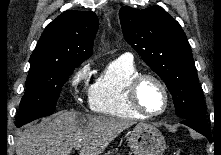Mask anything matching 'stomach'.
I'll return each instance as SVG.
<instances>
[{"label":"stomach","instance_id":"stomach-1","mask_svg":"<svg viewBox=\"0 0 221 155\" xmlns=\"http://www.w3.org/2000/svg\"><path fill=\"white\" fill-rule=\"evenodd\" d=\"M134 155H163L167 148L162 133L153 125L140 123L128 134Z\"/></svg>","mask_w":221,"mask_h":155}]
</instances>
